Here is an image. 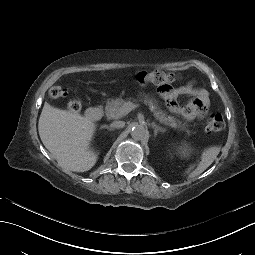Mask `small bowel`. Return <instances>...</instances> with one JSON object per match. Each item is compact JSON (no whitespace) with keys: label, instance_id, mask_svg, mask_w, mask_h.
<instances>
[{"label":"small bowel","instance_id":"c3829d8e","mask_svg":"<svg viewBox=\"0 0 255 255\" xmlns=\"http://www.w3.org/2000/svg\"><path fill=\"white\" fill-rule=\"evenodd\" d=\"M166 92V91H163ZM175 94L190 95L193 99L186 107H180L175 102H171V110L182 115L187 120L202 118L207 112L210 104L209 93L205 89H196L193 82L181 86L175 91Z\"/></svg>","mask_w":255,"mask_h":255}]
</instances>
